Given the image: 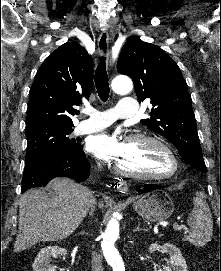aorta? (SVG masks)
Listing matches in <instances>:
<instances>
[{"label":"aorta","instance_id":"762f6f07","mask_svg":"<svg viewBox=\"0 0 221 271\" xmlns=\"http://www.w3.org/2000/svg\"><path fill=\"white\" fill-rule=\"evenodd\" d=\"M111 86L115 93L127 94L131 92L133 83L128 77L118 76L113 79ZM102 236L101 246L107 263L113 268V271H125L122 257L114 245L119 237V222L115 216L108 222Z\"/></svg>","mask_w":221,"mask_h":271}]
</instances>
